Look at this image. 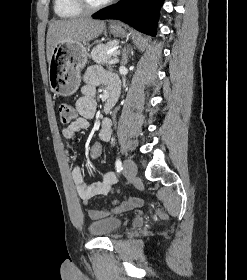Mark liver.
<instances>
[{
    "label": "liver",
    "mask_w": 247,
    "mask_h": 280,
    "mask_svg": "<svg viewBox=\"0 0 247 280\" xmlns=\"http://www.w3.org/2000/svg\"><path fill=\"white\" fill-rule=\"evenodd\" d=\"M105 29V22L90 18L56 20L49 24L46 39L47 61L50 63L53 49L60 42L93 40Z\"/></svg>",
    "instance_id": "obj_1"
}]
</instances>
